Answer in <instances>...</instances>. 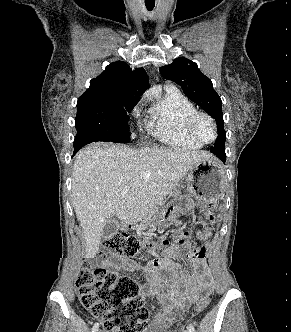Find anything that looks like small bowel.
I'll use <instances>...</instances> for the list:
<instances>
[{
  "instance_id": "obj_1",
  "label": "small bowel",
  "mask_w": 291,
  "mask_h": 332,
  "mask_svg": "<svg viewBox=\"0 0 291 332\" xmlns=\"http://www.w3.org/2000/svg\"><path fill=\"white\" fill-rule=\"evenodd\" d=\"M178 222V221H176ZM199 237L201 232H199ZM175 244L169 245L164 256L154 255L153 261L147 266H141L130 259L116 262L105 261L107 266L125 272L141 271L146 278L147 288L142 292L144 299L157 300L159 309L155 313L149 332H167L174 319V311L184 309L189 303L200 299L210 291V282L205 279L207 264L205 261L206 247L191 252H185L181 245L186 243V237L181 230L174 234ZM177 257L191 260L196 272L195 276H188L175 261Z\"/></svg>"
}]
</instances>
